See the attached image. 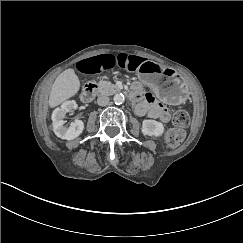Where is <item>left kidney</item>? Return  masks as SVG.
I'll use <instances>...</instances> for the list:
<instances>
[{
	"label": "left kidney",
	"mask_w": 243,
	"mask_h": 243,
	"mask_svg": "<svg viewBox=\"0 0 243 243\" xmlns=\"http://www.w3.org/2000/svg\"><path fill=\"white\" fill-rule=\"evenodd\" d=\"M140 131L144 136L162 137L165 133V126L162 122L156 120H143Z\"/></svg>",
	"instance_id": "obj_1"
}]
</instances>
